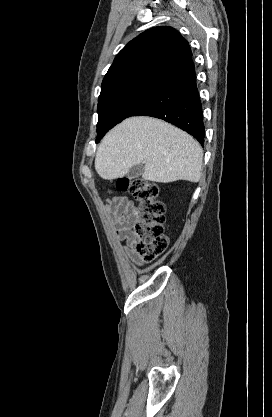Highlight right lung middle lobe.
I'll return each instance as SVG.
<instances>
[{"label": "right lung middle lobe", "instance_id": "right-lung-middle-lobe-1", "mask_svg": "<svg viewBox=\"0 0 272 417\" xmlns=\"http://www.w3.org/2000/svg\"><path fill=\"white\" fill-rule=\"evenodd\" d=\"M161 86H140L117 91L98 100V143L102 137L123 119L134 116L157 93Z\"/></svg>", "mask_w": 272, "mask_h": 417}]
</instances>
